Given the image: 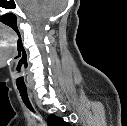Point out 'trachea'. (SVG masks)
<instances>
[{"mask_svg": "<svg viewBox=\"0 0 127 126\" xmlns=\"http://www.w3.org/2000/svg\"><path fill=\"white\" fill-rule=\"evenodd\" d=\"M20 95L22 97L23 102L25 103V105L31 110L33 111L32 105L29 101L28 95H27V89L26 88H18Z\"/></svg>", "mask_w": 127, "mask_h": 126, "instance_id": "1", "label": "trachea"}]
</instances>
